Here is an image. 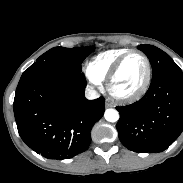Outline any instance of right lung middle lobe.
I'll return each instance as SVG.
<instances>
[{"instance_id": "1", "label": "right lung middle lobe", "mask_w": 183, "mask_h": 183, "mask_svg": "<svg viewBox=\"0 0 183 183\" xmlns=\"http://www.w3.org/2000/svg\"><path fill=\"white\" fill-rule=\"evenodd\" d=\"M93 46L84 48H64L54 47L34 62L24 73L21 78L32 76L47 75L61 72H81L83 60L94 51Z\"/></svg>"}]
</instances>
